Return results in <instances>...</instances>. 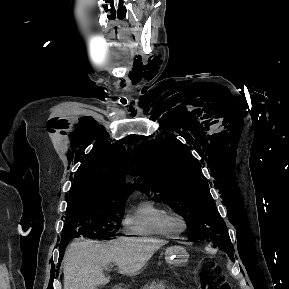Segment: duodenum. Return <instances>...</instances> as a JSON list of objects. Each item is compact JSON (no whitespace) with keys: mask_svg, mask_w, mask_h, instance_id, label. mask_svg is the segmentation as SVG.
<instances>
[{"mask_svg":"<svg viewBox=\"0 0 289 289\" xmlns=\"http://www.w3.org/2000/svg\"><path fill=\"white\" fill-rule=\"evenodd\" d=\"M112 289H122L120 286H115Z\"/></svg>","mask_w":289,"mask_h":289,"instance_id":"obj_1","label":"duodenum"}]
</instances>
